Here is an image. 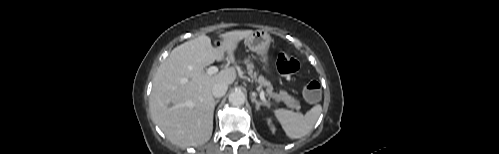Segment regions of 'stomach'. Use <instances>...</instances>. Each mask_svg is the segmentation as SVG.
I'll return each instance as SVG.
<instances>
[{"label": "stomach", "instance_id": "0dacf381", "mask_svg": "<svg viewBox=\"0 0 499 154\" xmlns=\"http://www.w3.org/2000/svg\"><path fill=\"white\" fill-rule=\"evenodd\" d=\"M245 42L248 48L260 57V61L264 64L263 69L267 70L269 63L268 50L271 43V37L268 32L263 30L253 31L245 39Z\"/></svg>", "mask_w": 499, "mask_h": 154}]
</instances>
